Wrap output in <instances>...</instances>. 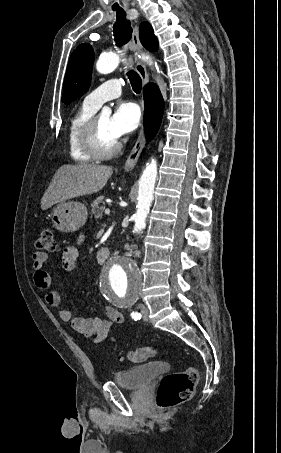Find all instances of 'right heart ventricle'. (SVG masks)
Segmentation results:
<instances>
[{"label":"right heart ventricle","instance_id":"right-heart-ventricle-1","mask_svg":"<svg viewBox=\"0 0 281 453\" xmlns=\"http://www.w3.org/2000/svg\"><path fill=\"white\" fill-rule=\"evenodd\" d=\"M98 108H95L86 99L83 105L70 118L68 123V145L72 158L76 162H87L92 160L82 144V135L88 122L94 117Z\"/></svg>","mask_w":281,"mask_h":453}]
</instances>
